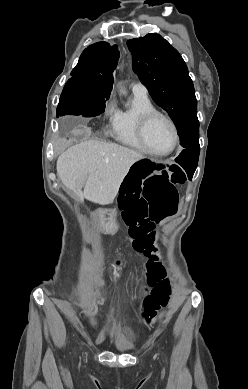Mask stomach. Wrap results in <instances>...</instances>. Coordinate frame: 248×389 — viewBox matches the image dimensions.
I'll use <instances>...</instances> for the list:
<instances>
[{
  "instance_id": "stomach-1",
  "label": "stomach",
  "mask_w": 248,
  "mask_h": 389,
  "mask_svg": "<svg viewBox=\"0 0 248 389\" xmlns=\"http://www.w3.org/2000/svg\"><path fill=\"white\" fill-rule=\"evenodd\" d=\"M98 213H102L101 218L103 220L99 221L100 225H105V229L103 230V233L105 235H117L120 233L119 227L118 226H111V225H119L120 221L119 220H113L114 214L116 212L115 208L111 207H102L97 209ZM95 218L97 217L96 215L94 216ZM118 218L120 217L119 215L117 216Z\"/></svg>"
}]
</instances>
